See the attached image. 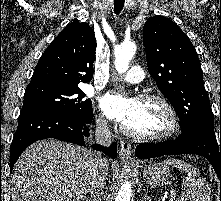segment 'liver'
<instances>
[{
	"label": "liver",
	"mask_w": 221,
	"mask_h": 201,
	"mask_svg": "<svg viewBox=\"0 0 221 201\" xmlns=\"http://www.w3.org/2000/svg\"><path fill=\"white\" fill-rule=\"evenodd\" d=\"M93 163L94 153L87 148L37 141L14 165L12 201H80L90 190Z\"/></svg>",
	"instance_id": "obj_1"
}]
</instances>
